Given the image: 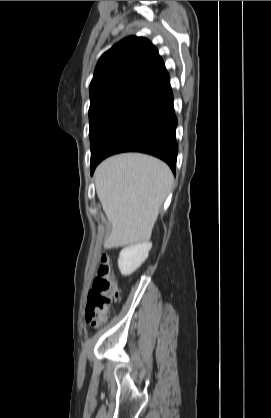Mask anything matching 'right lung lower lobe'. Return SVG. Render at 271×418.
<instances>
[{"instance_id":"98d812e1","label":"right lung lower lobe","mask_w":271,"mask_h":418,"mask_svg":"<svg viewBox=\"0 0 271 418\" xmlns=\"http://www.w3.org/2000/svg\"><path fill=\"white\" fill-rule=\"evenodd\" d=\"M177 118L172 93L152 104L119 130L91 163V174L106 157L128 151L147 153L165 161L175 173Z\"/></svg>"}]
</instances>
